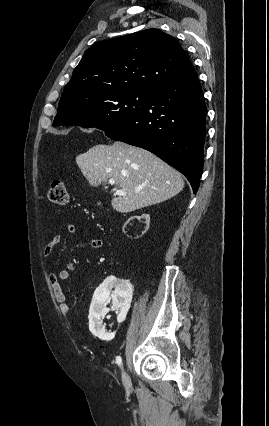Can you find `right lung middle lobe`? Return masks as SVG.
<instances>
[{
	"instance_id": "right-lung-middle-lobe-1",
	"label": "right lung middle lobe",
	"mask_w": 269,
	"mask_h": 426,
	"mask_svg": "<svg viewBox=\"0 0 269 426\" xmlns=\"http://www.w3.org/2000/svg\"><path fill=\"white\" fill-rule=\"evenodd\" d=\"M148 92L124 91L83 99H60L53 126L78 125L107 131L138 114L146 105Z\"/></svg>"
}]
</instances>
